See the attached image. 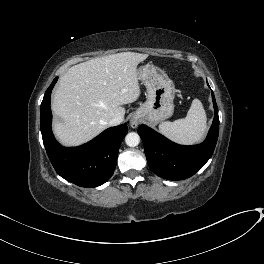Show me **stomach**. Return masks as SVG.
Listing matches in <instances>:
<instances>
[{"label":"stomach","mask_w":264,"mask_h":264,"mask_svg":"<svg viewBox=\"0 0 264 264\" xmlns=\"http://www.w3.org/2000/svg\"><path fill=\"white\" fill-rule=\"evenodd\" d=\"M138 78L147 89V100L136 110L135 116L150 125L171 117L176 92L173 81L163 70L152 64L139 67Z\"/></svg>","instance_id":"obj_1"}]
</instances>
